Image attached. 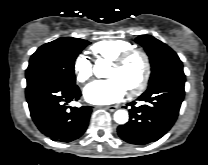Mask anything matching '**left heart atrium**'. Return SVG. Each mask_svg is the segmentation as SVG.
Instances as JSON below:
<instances>
[{
	"label": "left heart atrium",
	"mask_w": 208,
	"mask_h": 165,
	"mask_svg": "<svg viewBox=\"0 0 208 165\" xmlns=\"http://www.w3.org/2000/svg\"><path fill=\"white\" fill-rule=\"evenodd\" d=\"M125 93V87L117 78L94 81L84 90L86 100L97 105L115 103L121 100Z\"/></svg>",
	"instance_id": "39dd6f15"
}]
</instances>
